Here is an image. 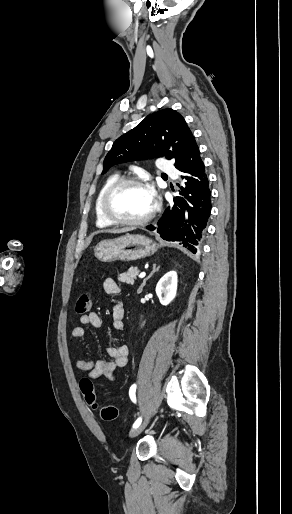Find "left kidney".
I'll list each match as a JSON object with an SVG mask.
<instances>
[{
  "mask_svg": "<svg viewBox=\"0 0 292 514\" xmlns=\"http://www.w3.org/2000/svg\"><path fill=\"white\" fill-rule=\"evenodd\" d=\"M177 272H167L156 286V294L162 306H168L177 292Z\"/></svg>",
  "mask_w": 292,
  "mask_h": 514,
  "instance_id": "obj_1",
  "label": "left kidney"
}]
</instances>
